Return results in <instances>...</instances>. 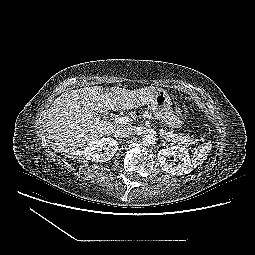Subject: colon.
<instances>
[{
	"label": "colon",
	"instance_id": "obj_1",
	"mask_svg": "<svg viewBox=\"0 0 255 255\" xmlns=\"http://www.w3.org/2000/svg\"><path fill=\"white\" fill-rule=\"evenodd\" d=\"M179 112L182 115H186L188 111H187V108L182 105V106L179 107Z\"/></svg>",
	"mask_w": 255,
	"mask_h": 255
}]
</instances>
